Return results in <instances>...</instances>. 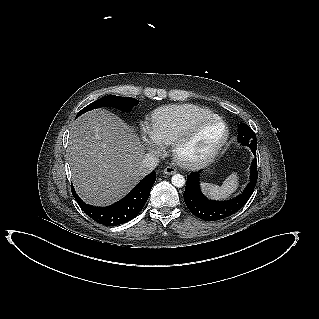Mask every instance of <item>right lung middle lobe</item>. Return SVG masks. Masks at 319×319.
I'll use <instances>...</instances> for the list:
<instances>
[{
	"label": "right lung middle lobe",
	"mask_w": 319,
	"mask_h": 319,
	"mask_svg": "<svg viewBox=\"0 0 319 319\" xmlns=\"http://www.w3.org/2000/svg\"><path fill=\"white\" fill-rule=\"evenodd\" d=\"M139 101L132 97H119L114 95H108L106 97L100 98L99 100L91 103L90 105L83 108L76 116H80L81 114L90 111L92 109H96L103 106H112L115 108H119L122 111L130 112L131 109L138 103Z\"/></svg>",
	"instance_id": "right-lung-middle-lobe-1"
}]
</instances>
